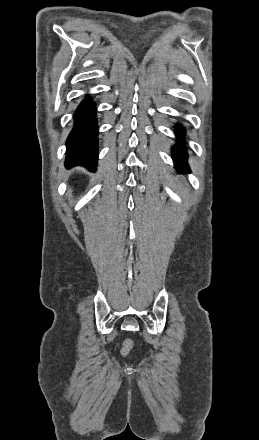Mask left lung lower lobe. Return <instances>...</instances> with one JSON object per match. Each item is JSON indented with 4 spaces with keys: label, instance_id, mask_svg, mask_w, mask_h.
<instances>
[{
    "label": "left lung lower lobe",
    "instance_id": "0a47b994",
    "mask_svg": "<svg viewBox=\"0 0 259 440\" xmlns=\"http://www.w3.org/2000/svg\"><path fill=\"white\" fill-rule=\"evenodd\" d=\"M177 131L179 133L184 132L182 127H178ZM172 152H173V159H174L176 168H178L179 170L183 169V170L188 171V164H187V161H186L187 155L185 153L184 148L182 146L178 145V146H175L172 149Z\"/></svg>",
    "mask_w": 259,
    "mask_h": 440
}]
</instances>
